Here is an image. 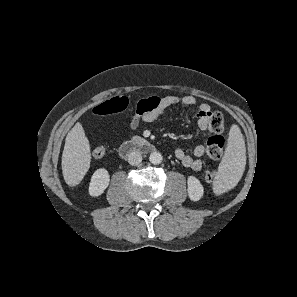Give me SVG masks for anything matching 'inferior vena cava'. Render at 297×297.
Segmentation results:
<instances>
[{
  "mask_svg": "<svg viewBox=\"0 0 297 297\" xmlns=\"http://www.w3.org/2000/svg\"><path fill=\"white\" fill-rule=\"evenodd\" d=\"M128 162L131 165H138L142 162V155L138 151H132L128 154Z\"/></svg>",
  "mask_w": 297,
  "mask_h": 297,
  "instance_id": "1",
  "label": "inferior vena cava"
}]
</instances>
